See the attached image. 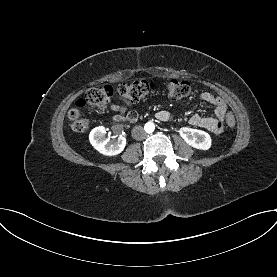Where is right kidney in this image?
I'll use <instances>...</instances> for the list:
<instances>
[{
  "mask_svg": "<svg viewBox=\"0 0 277 277\" xmlns=\"http://www.w3.org/2000/svg\"><path fill=\"white\" fill-rule=\"evenodd\" d=\"M106 129L104 126L95 127L89 134V141L91 145L101 154L106 156H115L120 154L126 145V139L120 135L118 140L114 143L110 142L109 138L104 135Z\"/></svg>",
  "mask_w": 277,
  "mask_h": 277,
  "instance_id": "right-kidney-1",
  "label": "right kidney"
}]
</instances>
